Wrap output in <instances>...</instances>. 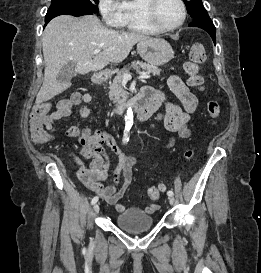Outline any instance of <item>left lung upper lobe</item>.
<instances>
[{"mask_svg": "<svg viewBox=\"0 0 261 273\" xmlns=\"http://www.w3.org/2000/svg\"><path fill=\"white\" fill-rule=\"evenodd\" d=\"M190 16L195 19L203 14H207L202 4V0H183Z\"/></svg>", "mask_w": 261, "mask_h": 273, "instance_id": "obj_1", "label": "left lung upper lobe"}]
</instances>
